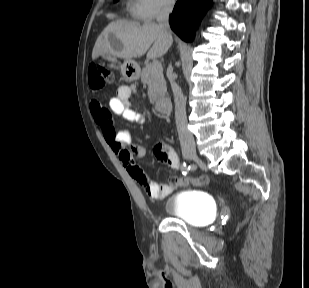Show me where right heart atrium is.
Segmentation results:
<instances>
[{"label":"right heart atrium","mask_w":309,"mask_h":288,"mask_svg":"<svg viewBox=\"0 0 309 288\" xmlns=\"http://www.w3.org/2000/svg\"><path fill=\"white\" fill-rule=\"evenodd\" d=\"M140 10V15L147 19H153L159 14L173 8L175 0H135Z\"/></svg>","instance_id":"d8ad5b80"}]
</instances>
